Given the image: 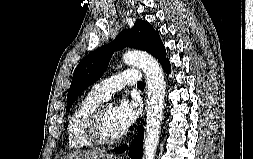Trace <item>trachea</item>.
<instances>
[{
    "mask_svg": "<svg viewBox=\"0 0 253 159\" xmlns=\"http://www.w3.org/2000/svg\"><path fill=\"white\" fill-rule=\"evenodd\" d=\"M137 86L139 87V88H144V82H139L138 84H137Z\"/></svg>",
    "mask_w": 253,
    "mask_h": 159,
    "instance_id": "trachea-1",
    "label": "trachea"
}]
</instances>
